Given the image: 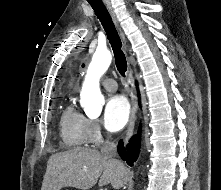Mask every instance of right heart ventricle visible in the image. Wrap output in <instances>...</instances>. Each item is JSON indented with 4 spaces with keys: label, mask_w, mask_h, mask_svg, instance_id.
I'll return each mask as SVG.
<instances>
[{
    "label": "right heart ventricle",
    "mask_w": 221,
    "mask_h": 190,
    "mask_svg": "<svg viewBox=\"0 0 221 190\" xmlns=\"http://www.w3.org/2000/svg\"><path fill=\"white\" fill-rule=\"evenodd\" d=\"M87 120L72 105H68L64 109L60 119V135L67 147L82 148L87 144Z\"/></svg>",
    "instance_id": "1"
}]
</instances>
